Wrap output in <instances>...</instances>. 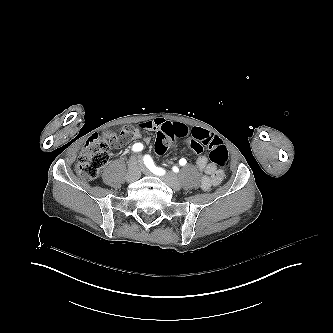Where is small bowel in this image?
<instances>
[{"label": "small bowel", "instance_id": "obj_1", "mask_svg": "<svg viewBox=\"0 0 333 333\" xmlns=\"http://www.w3.org/2000/svg\"><path fill=\"white\" fill-rule=\"evenodd\" d=\"M172 126L170 122L164 118L157 117L152 120H147L138 124L137 128H133V135L129 136L133 141H141L149 143L150 138L143 137L141 131H160L165 127ZM193 137H211L207 131L194 128L191 131ZM197 168L204 173L201 179V188L205 191L216 187L224 178V173L219 170L214 164L210 163L206 156H199L196 161Z\"/></svg>", "mask_w": 333, "mask_h": 333}]
</instances>
